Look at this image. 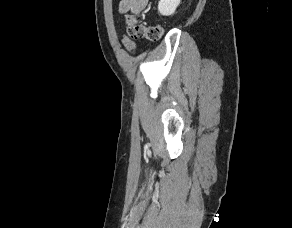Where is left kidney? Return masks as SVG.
I'll list each match as a JSON object with an SVG mask.
<instances>
[{
	"mask_svg": "<svg viewBox=\"0 0 292 228\" xmlns=\"http://www.w3.org/2000/svg\"><path fill=\"white\" fill-rule=\"evenodd\" d=\"M181 0H160L158 3V11L160 14L169 16L174 14Z\"/></svg>",
	"mask_w": 292,
	"mask_h": 228,
	"instance_id": "1",
	"label": "left kidney"
}]
</instances>
